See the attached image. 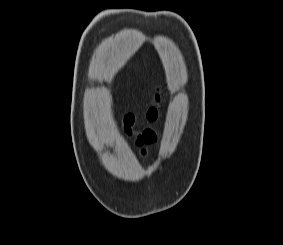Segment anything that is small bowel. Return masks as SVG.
Here are the masks:
<instances>
[{"instance_id": "c3829d8e", "label": "small bowel", "mask_w": 283, "mask_h": 245, "mask_svg": "<svg viewBox=\"0 0 283 245\" xmlns=\"http://www.w3.org/2000/svg\"><path fill=\"white\" fill-rule=\"evenodd\" d=\"M140 156H141V158H144L146 156V150L145 149H142L140 151Z\"/></svg>"}]
</instances>
